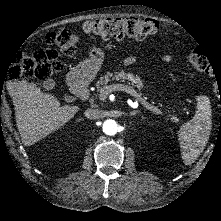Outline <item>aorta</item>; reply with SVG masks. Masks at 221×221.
Instances as JSON below:
<instances>
[{
    "mask_svg": "<svg viewBox=\"0 0 221 221\" xmlns=\"http://www.w3.org/2000/svg\"><path fill=\"white\" fill-rule=\"evenodd\" d=\"M102 129L105 134L114 135L117 133L118 124L116 123V121H114L112 119H108V120L104 121Z\"/></svg>",
    "mask_w": 221,
    "mask_h": 221,
    "instance_id": "aorta-1",
    "label": "aorta"
}]
</instances>
